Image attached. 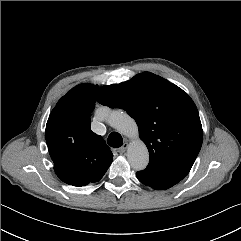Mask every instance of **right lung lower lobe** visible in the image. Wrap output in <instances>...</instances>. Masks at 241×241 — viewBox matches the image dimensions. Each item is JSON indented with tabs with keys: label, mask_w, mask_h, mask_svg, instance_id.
<instances>
[{
	"label": "right lung lower lobe",
	"mask_w": 241,
	"mask_h": 241,
	"mask_svg": "<svg viewBox=\"0 0 241 241\" xmlns=\"http://www.w3.org/2000/svg\"><path fill=\"white\" fill-rule=\"evenodd\" d=\"M55 173L63 182L73 186H83L93 182V181L80 179L79 177H76L62 169H55ZM94 182H97V181H94Z\"/></svg>",
	"instance_id": "obj_1"
}]
</instances>
